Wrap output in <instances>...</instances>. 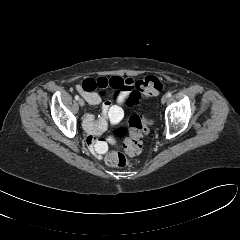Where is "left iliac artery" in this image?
Here are the masks:
<instances>
[{"mask_svg":"<svg viewBox=\"0 0 240 240\" xmlns=\"http://www.w3.org/2000/svg\"><path fill=\"white\" fill-rule=\"evenodd\" d=\"M166 95H167V97H171V96H172V93H171V92H168Z\"/></svg>","mask_w":240,"mask_h":240,"instance_id":"obj_1","label":"left iliac artery"}]
</instances>
